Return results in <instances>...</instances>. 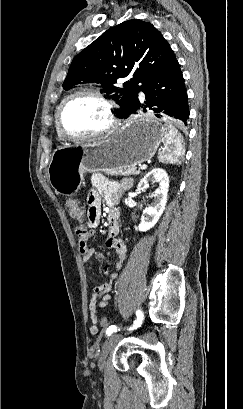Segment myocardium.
Returning <instances> with one entry per match:
<instances>
[{"label":"myocardium","instance_id":"f54148a6","mask_svg":"<svg viewBox=\"0 0 243 409\" xmlns=\"http://www.w3.org/2000/svg\"><path fill=\"white\" fill-rule=\"evenodd\" d=\"M79 95H88L98 100L105 107L107 126L96 133L87 135H72L67 133L63 128L62 116L67 103L74 97ZM56 127L60 136L69 141H86L106 137L112 134L118 128V120L115 115L113 102L98 90L91 88L78 89L66 96L58 106L56 112Z\"/></svg>","mask_w":243,"mask_h":409}]
</instances>
